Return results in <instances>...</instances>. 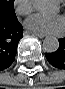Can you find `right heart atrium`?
<instances>
[{"mask_svg": "<svg viewBox=\"0 0 65 89\" xmlns=\"http://www.w3.org/2000/svg\"><path fill=\"white\" fill-rule=\"evenodd\" d=\"M15 10L20 15H27L32 11L31 0H16Z\"/></svg>", "mask_w": 65, "mask_h": 89, "instance_id": "right-heart-atrium-1", "label": "right heart atrium"}]
</instances>
